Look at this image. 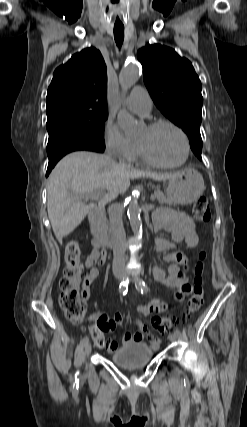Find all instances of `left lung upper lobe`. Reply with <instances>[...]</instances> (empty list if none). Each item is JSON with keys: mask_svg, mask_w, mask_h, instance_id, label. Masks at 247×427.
I'll return each mask as SVG.
<instances>
[{"mask_svg": "<svg viewBox=\"0 0 247 427\" xmlns=\"http://www.w3.org/2000/svg\"><path fill=\"white\" fill-rule=\"evenodd\" d=\"M143 66L144 83L160 111L182 128L190 147L202 160L203 97L201 82L192 63L181 58L172 48L160 44L147 45L137 52Z\"/></svg>", "mask_w": 247, "mask_h": 427, "instance_id": "left-lung-upper-lobe-1", "label": "left lung upper lobe"}]
</instances>
